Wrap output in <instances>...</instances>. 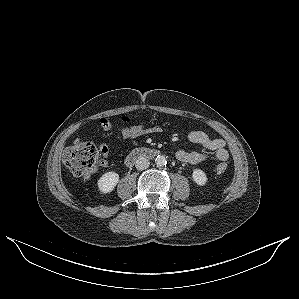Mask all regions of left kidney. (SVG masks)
Wrapping results in <instances>:
<instances>
[{
    "instance_id": "obj_1",
    "label": "left kidney",
    "mask_w": 299,
    "mask_h": 299,
    "mask_svg": "<svg viewBox=\"0 0 299 299\" xmlns=\"http://www.w3.org/2000/svg\"><path fill=\"white\" fill-rule=\"evenodd\" d=\"M193 181L200 186H203L207 182V175L201 169H194L192 173Z\"/></svg>"
}]
</instances>
